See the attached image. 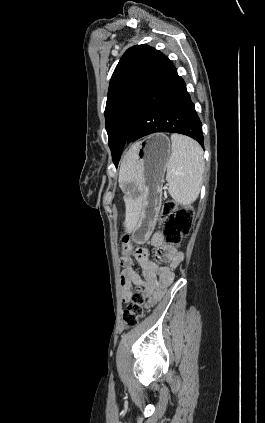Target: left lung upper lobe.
I'll list each match as a JSON object with an SVG mask.
<instances>
[{
  "instance_id": "left-lung-upper-lobe-1",
  "label": "left lung upper lobe",
  "mask_w": 265,
  "mask_h": 423,
  "mask_svg": "<svg viewBox=\"0 0 265 423\" xmlns=\"http://www.w3.org/2000/svg\"><path fill=\"white\" fill-rule=\"evenodd\" d=\"M158 53L145 44L129 48L110 80L105 120L109 147L116 166L126 142L136 99Z\"/></svg>"
}]
</instances>
